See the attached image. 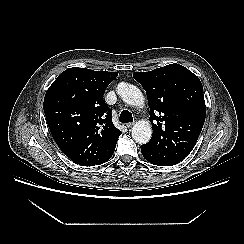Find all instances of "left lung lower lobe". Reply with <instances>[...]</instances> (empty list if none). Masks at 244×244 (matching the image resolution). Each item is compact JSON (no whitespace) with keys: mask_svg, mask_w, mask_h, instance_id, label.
I'll list each match as a JSON object with an SVG mask.
<instances>
[{"mask_svg":"<svg viewBox=\"0 0 244 244\" xmlns=\"http://www.w3.org/2000/svg\"><path fill=\"white\" fill-rule=\"evenodd\" d=\"M141 151H142L143 156L149 161L147 152L144 150L143 145L141 146Z\"/></svg>","mask_w":244,"mask_h":244,"instance_id":"left-lung-lower-lobe-1","label":"left lung lower lobe"}]
</instances>
